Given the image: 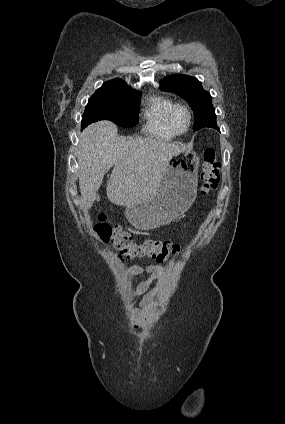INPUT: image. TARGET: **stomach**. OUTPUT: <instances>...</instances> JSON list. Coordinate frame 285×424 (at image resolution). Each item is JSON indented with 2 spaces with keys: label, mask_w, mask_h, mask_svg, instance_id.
<instances>
[{
  "label": "stomach",
  "mask_w": 285,
  "mask_h": 424,
  "mask_svg": "<svg viewBox=\"0 0 285 424\" xmlns=\"http://www.w3.org/2000/svg\"><path fill=\"white\" fill-rule=\"evenodd\" d=\"M199 157L190 151L174 155L155 193L126 206L125 216L138 229L152 230L184 214L197 195Z\"/></svg>",
  "instance_id": "1"
}]
</instances>
